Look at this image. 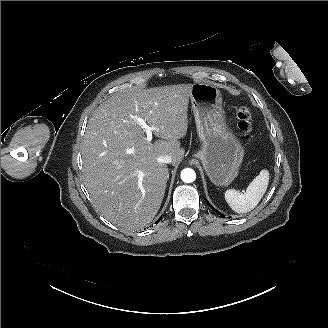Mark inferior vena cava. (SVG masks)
<instances>
[{"label":"inferior vena cava","instance_id":"inferior-vena-cava-1","mask_svg":"<svg viewBox=\"0 0 328 328\" xmlns=\"http://www.w3.org/2000/svg\"><path fill=\"white\" fill-rule=\"evenodd\" d=\"M158 163L169 164L172 162V157L170 155H160L157 158Z\"/></svg>","mask_w":328,"mask_h":328}]
</instances>
